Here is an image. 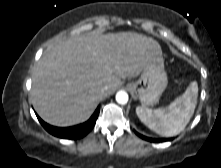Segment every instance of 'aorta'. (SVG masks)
Returning <instances> with one entry per match:
<instances>
[{"mask_svg":"<svg viewBox=\"0 0 221 168\" xmlns=\"http://www.w3.org/2000/svg\"><path fill=\"white\" fill-rule=\"evenodd\" d=\"M116 101L119 104H126L128 102V94L125 91H118L116 94Z\"/></svg>","mask_w":221,"mask_h":168,"instance_id":"obj_1","label":"aorta"}]
</instances>
